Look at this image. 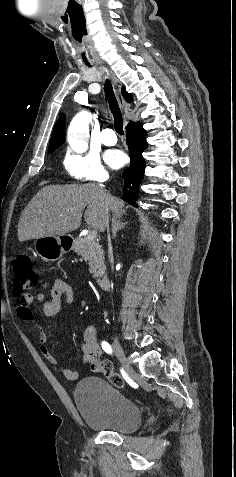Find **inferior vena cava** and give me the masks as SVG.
Returning <instances> with one entry per match:
<instances>
[{"label": "inferior vena cava", "mask_w": 236, "mask_h": 477, "mask_svg": "<svg viewBox=\"0 0 236 477\" xmlns=\"http://www.w3.org/2000/svg\"><path fill=\"white\" fill-rule=\"evenodd\" d=\"M103 228H107V234H108V253H109V259L110 263H113V255H112V247H111V239L109 235V208H108V203L107 200H105V205L103 208Z\"/></svg>", "instance_id": "1"}]
</instances>
